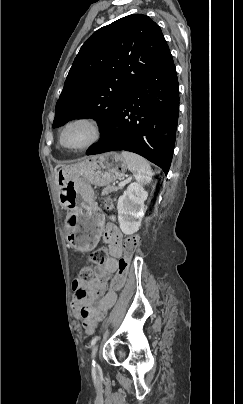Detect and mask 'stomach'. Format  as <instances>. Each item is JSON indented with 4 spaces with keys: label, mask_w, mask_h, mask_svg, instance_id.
<instances>
[{
    "label": "stomach",
    "mask_w": 243,
    "mask_h": 404,
    "mask_svg": "<svg viewBox=\"0 0 243 404\" xmlns=\"http://www.w3.org/2000/svg\"><path fill=\"white\" fill-rule=\"evenodd\" d=\"M127 169V162L120 154L109 152L58 171L60 202L70 211L65 219L67 241L75 250L93 249L104 225V216L94 202L91 185L107 186L122 178Z\"/></svg>",
    "instance_id": "stomach-1"
}]
</instances>
